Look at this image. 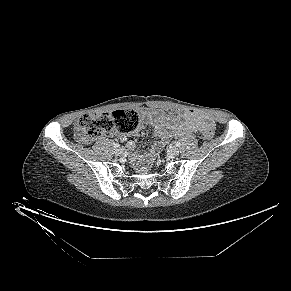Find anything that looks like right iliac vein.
Masks as SVG:
<instances>
[{
	"instance_id": "right-iliac-vein-1",
	"label": "right iliac vein",
	"mask_w": 291,
	"mask_h": 291,
	"mask_svg": "<svg viewBox=\"0 0 291 291\" xmlns=\"http://www.w3.org/2000/svg\"><path fill=\"white\" fill-rule=\"evenodd\" d=\"M115 154H116L117 156H122V155L124 154V149H122V148H118V149H116V150H115Z\"/></svg>"
}]
</instances>
